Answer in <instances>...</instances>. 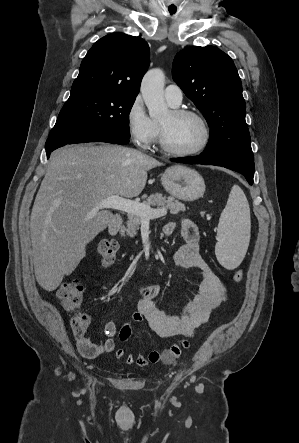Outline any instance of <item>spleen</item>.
Returning a JSON list of instances; mask_svg holds the SVG:
<instances>
[{
    "mask_svg": "<svg viewBox=\"0 0 299 443\" xmlns=\"http://www.w3.org/2000/svg\"><path fill=\"white\" fill-rule=\"evenodd\" d=\"M250 208L243 190L234 185L221 213L215 254L226 269L237 268L243 261L250 241Z\"/></svg>",
    "mask_w": 299,
    "mask_h": 443,
    "instance_id": "1",
    "label": "spleen"
}]
</instances>
